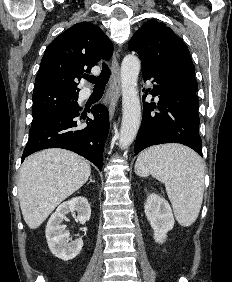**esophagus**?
I'll use <instances>...</instances> for the list:
<instances>
[{
  "label": "esophagus",
  "instance_id": "esophagus-1",
  "mask_svg": "<svg viewBox=\"0 0 232 282\" xmlns=\"http://www.w3.org/2000/svg\"><path fill=\"white\" fill-rule=\"evenodd\" d=\"M112 75L109 82V96H110V107L109 115L110 119L114 117L116 106L121 95V79H120V67L117 59V55L114 52L112 56L111 64Z\"/></svg>",
  "mask_w": 232,
  "mask_h": 282
}]
</instances>
